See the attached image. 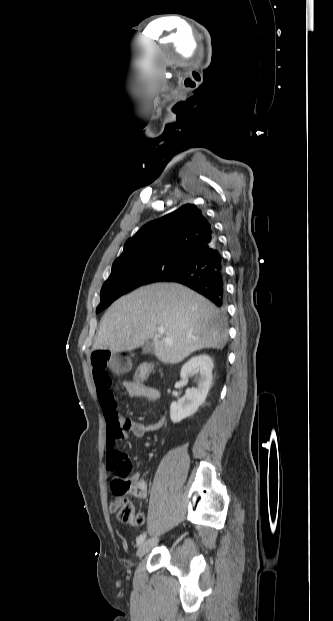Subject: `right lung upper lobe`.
<instances>
[{"label":"right lung upper lobe","mask_w":333,"mask_h":621,"mask_svg":"<svg viewBox=\"0 0 333 621\" xmlns=\"http://www.w3.org/2000/svg\"><path fill=\"white\" fill-rule=\"evenodd\" d=\"M215 238L211 224L200 209L194 204H185L139 229L126 241L114 263L159 257L185 258Z\"/></svg>","instance_id":"right-lung-upper-lobe-1"}]
</instances>
